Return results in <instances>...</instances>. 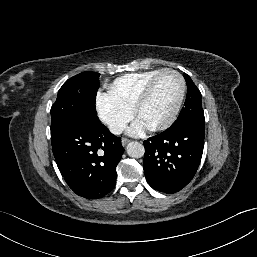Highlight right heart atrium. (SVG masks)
Listing matches in <instances>:
<instances>
[{
  "label": "right heart atrium",
  "mask_w": 257,
  "mask_h": 257,
  "mask_svg": "<svg viewBox=\"0 0 257 257\" xmlns=\"http://www.w3.org/2000/svg\"><path fill=\"white\" fill-rule=\"evenodd\" d=\"M97 112L100 120L113 135L121 134L134 115L133 110L114 102L107 94L98 95Z\"/></svg>",
  "instance_id": "right-heart-atrium-1"
}]
</instances>
